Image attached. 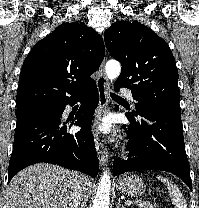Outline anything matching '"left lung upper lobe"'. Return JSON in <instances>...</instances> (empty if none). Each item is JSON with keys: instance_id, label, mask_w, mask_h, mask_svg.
Wrapping results in <instances>:
<instances>
[{"instance_id": "5c2ea615", "label": "left lung upper lobe", "mask_w": 199, "mask_h": 208, "mask_svg": "<svg viewBox=\"0 0 199 208\" xmlns=\"http://www.w3.org/2000/svg\"><path fill=\"white\" fill-rule=\"evenodd\" d=\"M108 51L121 62L117 87L131 89L139 107L181 111L178 70L167 43L143 24L116 21L104 33Z\"/></svg>"}]
</instances>
